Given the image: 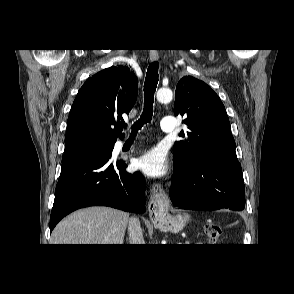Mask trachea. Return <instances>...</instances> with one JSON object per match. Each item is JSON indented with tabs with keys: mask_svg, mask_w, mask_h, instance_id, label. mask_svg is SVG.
Masks as SVG:
<instances>
[{
	"mask_svg": "<svg viewBox=\"0 0 294 294\" xmlns=\"http://www.w3.org/2000/svg\"><path fill=\"white\" fill-rule=\"evenodd\" d=\"M158 83V62L149 65L144 83V109L140 119L132 126L131 136H135L145 123L150 122L153 115L154 93ZM126 127V124H122Z\"/></svg>",
	"mask_w": 294,
	"mask_h": 294,
	"instance_id": "obj_1",
	"label": "trachea"
}]
</instances>
